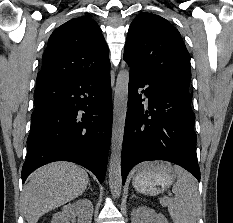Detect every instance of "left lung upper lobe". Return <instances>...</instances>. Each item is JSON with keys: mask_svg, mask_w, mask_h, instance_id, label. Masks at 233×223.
Listing matches in <instances>:
<instances>
[{"mask_svg": "<svg viewBox=\"0 0 233 223\" xmlns=\"http://www.w3.org/2000/svg\"><path fill=\"white\" fill-rule=\"evenodd\" d=\"M124 57L156 82L189 92L190 55L179 31L161 16L142 13L133 20Z\"/></svg>", "mask_w": 233, "mask_h": 223, "instance_id": "1", "label": "left lung upper lobe"}]
</instances>
